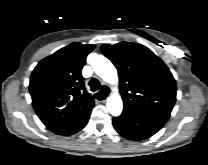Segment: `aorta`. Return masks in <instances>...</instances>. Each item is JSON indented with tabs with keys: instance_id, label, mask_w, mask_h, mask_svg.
<instances>
[{
	"instance_id": "aorta-1",
	"label": "aorta",
	"mask_w": 208,
	"mask_h": 165,
	"mask_svg": "<svg viewBox=\"0 0 208 165\" xmlns=\"http://www.w3.org/2000/svg\"><path fill=\"white\" fill-rule=\"evenodd\" d=\"M89 63L92 65L94 72L100 76L105 82L117 84L118 74L112 62L102 55L95 53L88 57ZM117 91V89H115ZM107 109L113 116H119L123 109V102L118 93H114L107 100Z\"/></svg>"
}]
</instances>
